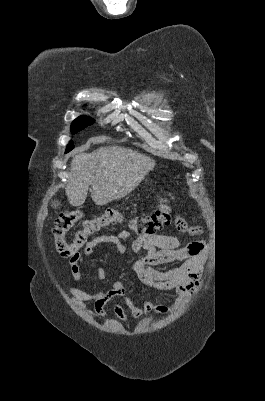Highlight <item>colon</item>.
I'll return each instance as SVG.
<instances>
[{"instance_id": "5ec220e1", "label": "colon", "mask_w": 265, "mask_h": 401, "mask_svg": "<svg viewBox=\"0 0 265 401\" xmlns=\"http://www.w3.org/2000/svg\"><path fill=\"white\" fill-rule=\"evenodd\" d=\"M170 198L169 193L164 194L160 199L158 208L153 213L132 218H126L117 210H108L99 217L86 220L83 223V228L76 234L71 243L67 242L65 237L75 223L82 218L83 213L80 210H75L60 214L52 230L56 250L62 257L70 258L85 246L91 234L102 227L116 223H124L130 230L139 235L154 234L157 230L169 225L171 221Z\"/></svg>"}]
</instances>
